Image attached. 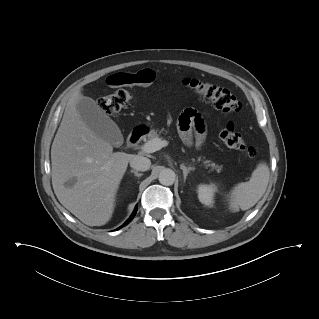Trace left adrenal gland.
I'll return each mask as SVG.
<instances>
[{
	"instance_id": "1",
	"label": "left adrenal gland",
	"mask_w": 319,
	"mask_h": 319,
	"mask_svg": "<svg viewBox=\"0 0 319 319\" xmlns=\"http://www.w3.org/2000/svg\"><path fill=\"white\" fill-rule=\"evenodd\" d=\"M180 168L183 171L184 182L186 181V178H187L188 174L190 173V171L195 169L194 167H191V166L186 167L184 164H181Z\"/></svg>"
}]
</instances>
